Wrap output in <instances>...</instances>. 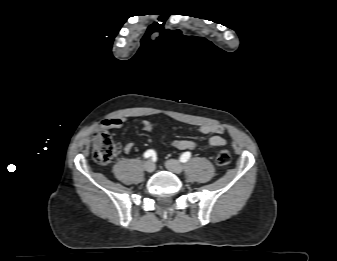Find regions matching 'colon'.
<instances>
[{
  "label": "colon",
  "mask_w": 337,
  "mask_h": 261,
  "mask_svg": "<svg viewBox=\"0 0 337 261\" xmlns=\"http://www.w3.org/2000/svg\"><path fill=\"white\" fill-rule=\"evenodd\" d=\"M116 146L107 132L98 131L93 138L92 155L96 163L104 165L109 163L116 154ZM231 161V155L227 150H220L216 155V163L226 166Z\"/></svg>",
  "instance_id": "5ec220e1"
}]
</instances>
